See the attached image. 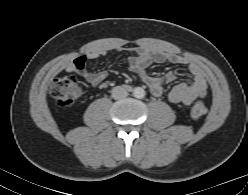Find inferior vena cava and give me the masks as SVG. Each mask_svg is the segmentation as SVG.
I'll return each mask as SVG.
<instances>
[{
  "instance_id": "602c4592",
  "label": "inferior vena cava",
  "mask_w": 248,
  "mask_h": 195,
  "mask_svg": "<svg viewBox=\"0 0 248 195\" xmlns=\"http://www.w3.org/2000/svg\"><path fill=\"white\" fill-rule=\"evenodd\" d=\"M128 96L127 90L122 86H116L112 89V97L114 99H123Z\"/></svg>"
}]
</instances>
